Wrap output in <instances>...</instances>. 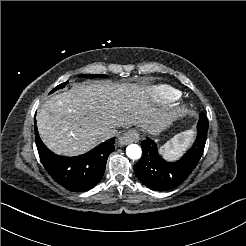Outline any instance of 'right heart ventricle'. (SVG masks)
Instances as JSON below:
<instances>
[{"label": "right heart ventricle", "instance_id": "e07e8e85", "mask_svg": "<svg viewBox=\"0 0 246 246\" xmlns=\"http://www.w3.org/2000/svg\"><path fill=\"white\" fill-rule=\"evenodd\" d=\"M151 103L155 107H164L178 97L177 91L166 85H156L150 90Z\"/></svg>", "mask_w": 246, "mask_h": 246}]
</instances>
